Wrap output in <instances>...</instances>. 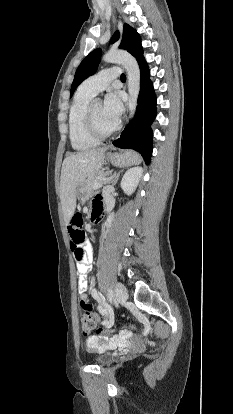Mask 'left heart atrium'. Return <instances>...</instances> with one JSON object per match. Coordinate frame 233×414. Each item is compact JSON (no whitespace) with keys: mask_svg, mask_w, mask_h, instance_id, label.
Returning <instances> with one entry per match:
<instances>
[{"mask_svg":"<svg viewBox=\"0 0 233 414\" xmlns=\"http://www.w3.org/2000/svg\"><path fill=\"white\" fill-rule=\"evenodd\" d=\"M103 111L113 122L117 123L119 121L123 112V105L117 93L107 94L103 104Z\"/></svg>","mask_w":233,"mask_h":414,"instance_id":"39dd6f15","label":"left heart atrium"}]
</instances>
